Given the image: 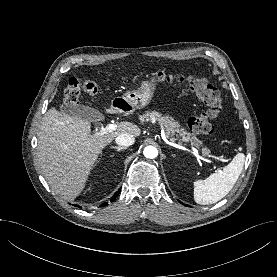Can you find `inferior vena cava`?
<instances>
[{
  "mask_svg": "<svg viewBox=\"0 0 277 277\" xmlns=\"http://www.w3.org/2000/svg\"><path fill=\"white\" fill-rule=\"evenodd\" d=\"M116 143L123 147H129L135 142V138L133 135L124 133L116 137Z\"/></svg>",
  "mask_w": 277,
  "mask_h": 277,
  "instance_id": "1",
  "label": "inferior vena cava"
}]
</instances>
